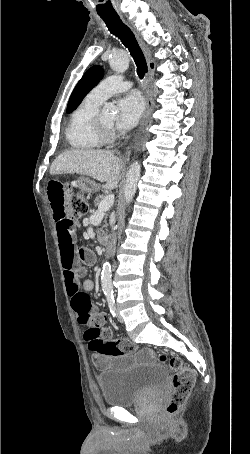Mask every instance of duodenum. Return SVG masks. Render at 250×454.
Segmentation results:
<instances>
[{
	"label": "duodenum",
	"instance_id": "410a0bca",
	"mask_svg": "<svg viewBox=\"0 0 250 454\" xmlns=\"http://www.w3.org/2000/svg\"><path fill=\"white\" fill-rule=\"evenodd\" d=\"M102 245L106 250H109L112 246V237L110 235L103 236Z\"/></svg>",
	"mask_w": 250,
	"mask_h": 454
}]
</instances>
